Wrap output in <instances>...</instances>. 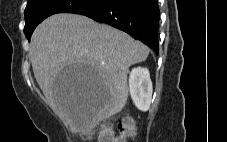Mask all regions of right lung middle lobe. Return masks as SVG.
Returning <instances> with one entry per match:
<instances>
[{
	"label": "right lung middle lobe",
	"mask_w": 227,
	"mask_h": 142,
	"mask_svg": "<svg viewBox=\"0 0 227 142\" xmlns=\"http://www.w3.org/2000/svg\"><path fill=\"white\" fill-rule=\"evenodd\" d=\"M107 0H29L25 9L24 33L30 40L34 29L44 19L58 13H80L98 7Z\"/></svg>",
	"instance_id": "right-lung-middle-lobe-1"
}]
</instances>
